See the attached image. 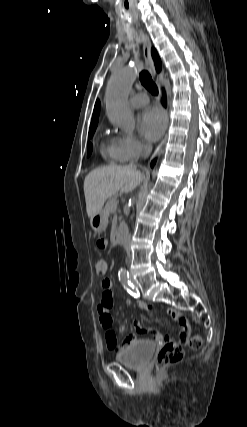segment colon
<instances>
[{
	"mask_svg": "<svg viewBox=\"0 0 247 427\" xmlns=\"http://www.w3.org/2000/svg\"><path fill=\"white\" fill-rule=\"evenodd\" d=\"M94 267L99 275H104L108 269V262L105 258L99 257L94 261ZM190 347L196 349L201 346V339L199 336H193L189 340ZM184 355L183 347L180 343L166 342L160 349L156 365L158 368L175 364L179 362Z\"/></svg>",
	"mask_w": 247,
	"mask_h": 427,
	"instance_id": "1",
	"label": "colon"
}]
</instances>
